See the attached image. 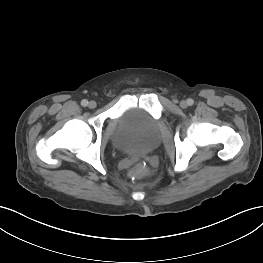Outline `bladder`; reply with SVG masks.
Returning <instances> with one entry per match:
<instances>
[{"label":"bladder","instance_id":"bladder-1","mask_svg":"<svg viewBox=\"0 0 263 263\" xmlns=\"http://www.w3.org/2000/svg\"><path fill=\"white\" fill-rule=\"evenodd\" d=\"M160 142L157 120L140 108L126 109L112 134L113 145L126 153L145 154Z\"/></svg>","mask_w":263,"mask_h":263}]
</instances>
